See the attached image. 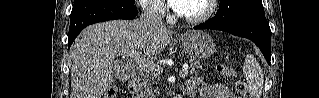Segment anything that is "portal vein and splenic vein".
<instances>
[{
	"label": "portal vein and splenic vein",
	"mask_w": 319,
	"mask_h": 98,
	"mask_svg": "<svg viewBox=\"0 0 319 98\" xmlns=\"http://www.w3.org/2000/svg\"><path fill=\"white\" fill-rule=\"evenodd\" d=\"M117 54L130 57L140 69L147 73L156 74L159 71L160 67L143 58L138 50L118 51ZM179 75L180 77H186L188 75V66H184Z\"/></svg>",
	"instance_id": "18ae733b"
}]
</instances>
